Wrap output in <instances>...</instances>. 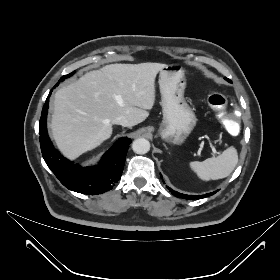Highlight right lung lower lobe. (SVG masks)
<instances>
[{"mask_svg": "<svg viewBox=\"0 0 280 280\" xmlns=\"http://www.w3.org/2000/svg\"><path fill=\"white\" fill-rule=\"evenodd\" d=\"M47 111L48 100L43 106L39 123L40 146L47 166L58 180L69 190L83 194L97 195L111 190L121 178L131 140L125 137L119 138L105 153L98 166L82 168L54 149L46 128Z\"/></svg>", "mask_w": 280, "mask_h": 280, "instance_id": "98d812e1", "label": "right lung lower lobe"}]
</instances>
